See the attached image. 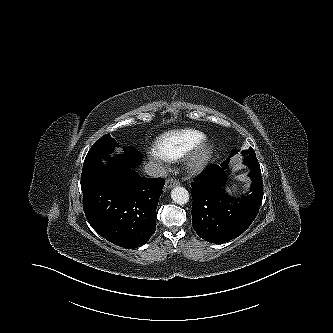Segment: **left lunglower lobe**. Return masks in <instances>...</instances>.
<instances>
[{
    "mask_svg": "<svg viewBox=\"0 0 333 333\" xmlns=\"http://www.w3.org/2000/svg\"><path fill=\"white\" fill-rule=\"evenodd\" d=\"M244 164L254 155L243 152ZM230 157L220 165H210L191 183L192 225L198 235L211 243H225L241 235L258 214L263 199L261 173L251 171V194L235 199L225 193V170Z\"/></svg>",
    "mask_w": 333,
    "mask_h": 333,
    "instance_id": "obj_1",
    "label": "left lung lower lobe"
}]
</instances>
